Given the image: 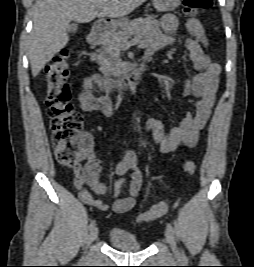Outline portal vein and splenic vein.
I'll return each instance as SVG.
<instances>
[{"label": "portal vein and splenic vein", "mask_w": 254, "mask_h": 267, "mask_svg": "<svg viewBox=\"0 0 254 267\" xmlns=\"http://www.w3.org/2000/svg\"><path fill=\"white\" fill-rule=\"evenodd\" d=\"M102 9V7H98V10L100 11ZM141 41V37H135L134 39H132L130 42L126 43L123 45L124 48H129L131 45L134 44H138Z\"/></svg>", "instance_id": "portal-vein-and-splenic-vein-1"}]
</instances>
